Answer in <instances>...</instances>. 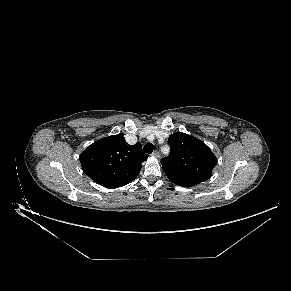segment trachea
Segmentation results:
<instances>
[{"label":"trachea","instance_id":"1","mask_svg":"<svg viewBox=\"0 0 291 291\" xmlns=\"http://www.w3.org/2000/svg\"><path fill=\"white\" fill-rule=\"evenodd\" d=\"M153 149H154V145L152 143H147L144 146L145 153L151 154L153 152Z\"/></svg>","mask_w":291,"mask_h":291}]
</instances>
